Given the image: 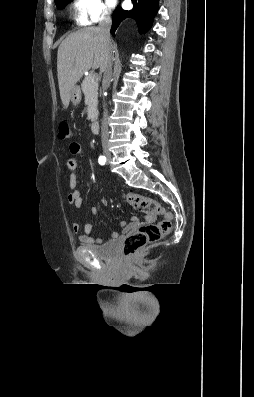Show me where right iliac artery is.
<instances>
[{"mask_svg": "<svg viewBox=\"0 0 254 397\" xmlns=\"http://www.w3.org/2000/svg\"><path fill=\"white\" fill-rule=\"evenodd\" d=\"M98 161H99L100 165H104L106 163V157L105 156H100Z\"/></svg>", "mask_w": 254, "mask_h": 397, "instance_id": "right-iliac-artery-1", "label": "right iliac artery"}]
</instances>
